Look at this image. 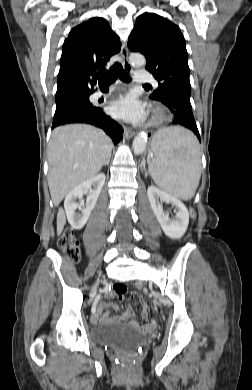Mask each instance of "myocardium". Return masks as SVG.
<instances>
[{
  "instance_id": "myocardium-1",
  "label": "myocardium",
  "mask_w": 252,
  "mask_h": 390,
  "mask_svg": "<svg viewBox=\"0 0 252 390\" xmlns=\"http://www.w3.org/2000/svg\"><path fill=\"white\" fill-rule=\"evenodd\" d=\"M167 117H168L167 110L161 106H156L152 110L149 124L151 126H159L165 122Z\"/></svg>"
}]
</instances>
